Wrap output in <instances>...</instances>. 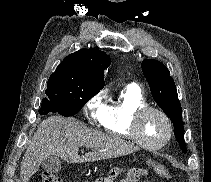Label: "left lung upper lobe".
<instances>
[{
	"mask_svg": "<svg viewBox=\"0 0 211 182\" xmlns=\"http://www.w3.org/2000/svg\"><path fill=\"white\" fill-rule=\"evenodd\" d=\"M141 67L150 86L153 99L171 119L176 140L179 142L182 151L186 153L182 108L169 70L163 63L154 59L143 60Z\"/></svg>",
	"mask_w": 211,
	"mask_h": 182,
	"instance_id": "5c2ea615",
	"label": "left lung upper lobe"
}]
</instances>
